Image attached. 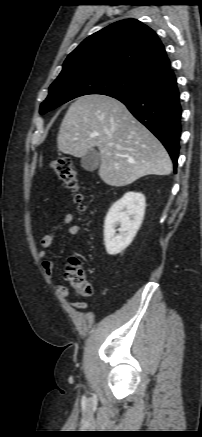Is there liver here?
I'll return each mask as SVG.
<instances>
[{
  "instance_id": "liver-1",
  "label": "liver",
  "mask_w": 202,
  "mask_h": 437,
  "mask_svg": "<svg viewBox=\"0 0 202 437\" xmlns=\"http://www.w3.org/2000/svg\"><path fill=\"white\" fill-rule=\"evenodd\" d=\"M64 154L83 157L98 147L100 178L110 186L129 185L146 175H169L171 159L160 141L120 101L85 95L67 110L57 136Z\"/></svg>"
}]
</instances>
